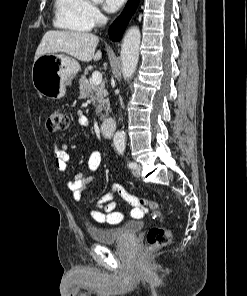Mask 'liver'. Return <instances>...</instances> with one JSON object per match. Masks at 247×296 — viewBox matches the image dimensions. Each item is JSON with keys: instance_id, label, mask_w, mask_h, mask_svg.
<instances>
[{"instance_id": "1", "label": "liver", "mask_w": 247, "mask_h": 296, "mask_svg": "<svg viewBox=\"0 0 247 296\" xmlns=\"http://www.w3.org/2000/svg\"><path fill=\"white\" fill-rule=\"evenodd\" d=\"M99 38L86 32L47 31L35 53V60L45 54L66 53L80 61H98L101 51L95 53Z\"/></svg>"}]
</instances>
